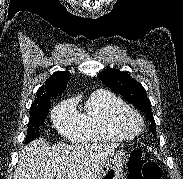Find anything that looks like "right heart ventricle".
Masks as SVG:
<instances>
[{
    "instance_id": "right-heart-ventricle-1",
    "label": "right heart ventricle",
    "mask_w": 183,
    "mask_h": 179,
    "mask_svg": "<svg viewBox=\"0 0 183 179\" xmlns=\"http://www.w3.org/2000/svg\"><path fill=\"white\" fill-rule=\"evenodd\" d=\"M127 108L124 100L108 90L92 92L79 114L81 140L97 143L130 139L131 136L120 132L115 124L117 114Z\"/></svg>"
}]
</instances>
